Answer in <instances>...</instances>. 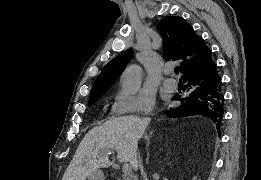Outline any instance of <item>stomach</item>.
<instances>
[{"instance_id":"obj_1","label":"stomach","mask_w":261,"mask_h":180,"mask_svg":"<svg viewBox=\"0 0 261 180\" xmlns=\"http://www.w3.org/2000/svg\"><path fill=\"white\" fill-rule=\"evenodd\" d=\"M87 180H105L104 173L99 169L94 170L88 175Z\"/></svg>"}]
</instances>
